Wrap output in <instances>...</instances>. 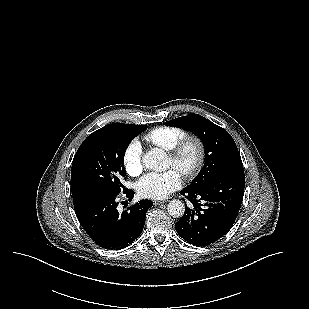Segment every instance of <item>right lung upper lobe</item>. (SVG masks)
I'll use <instances>...</instances> for the list:
<instances>
[{"instance_id":"cb5924a9","label":"right lung upper lobe","mask_w":309,"mask_h":309,"mask_svg":"<svg viewBox=\"0 0 309 309\" xmlns=\"http://www.w3.org/2000/svg\"><path fill=\"white\" fill-rule=\"evenodd\" d=\"M74 198H77V196H73V199H74Z\"/></svg>"}]
</instances>
